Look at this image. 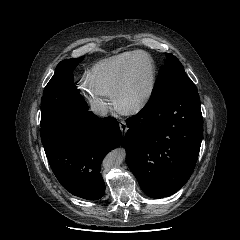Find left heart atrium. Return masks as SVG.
I'll list each match as a JSON object with an SVG mask.
<instances>
[{
	"label": "left heart atrium",
	"instance_id": "1",
	"mask_svg": "<svg viewBox=\"0 0 240 240\" xmlns=\"http://www.w3.org/2000/svg\"><path fill=\"white\" fill-rule=\"evenodd\" d=\"M116 108H117L118 110L122 111L121 107H120L118 104H116Z\"/></svg>",
	"mask_w": 240,
	"mask_h": 240
}]
</instances>
